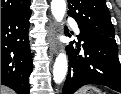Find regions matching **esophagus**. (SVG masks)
<instances>
[{"instance_id": "obj_1", "label": "esophagus", "mask_w": 121, "mask_h": 94, "mask_svg": "<svg viewBox=\"0 0 121 94\" xmlns=\"http://www.w3.org/2000/svg\"><path fill=\"white\" fill-rule=\"evenodd\" d=\"M56 31H57V23L56 22L50 23V25L48 26V41L50 44V51L52 55H55L59 49V45L55 40Z\"/></svg>"}]
</instances>
